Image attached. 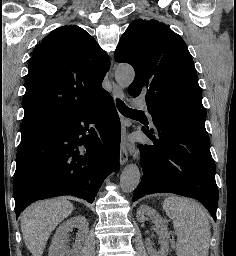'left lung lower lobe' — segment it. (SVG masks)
I'll use <instances>...</instances> for the list:
<instances>
[{
	"label": "left lung lower lobe",
	"mask_w": 236,
	"mask_h": 256,
	"mask_svg": "<svg viewBox=\"0 0 236 256\" xmlns=\"http://www.w3.org/2000/svg\"><path fill=\"white\" fill-rule=\"evenodd\" d=\"M153 123L154 130L143 128L153 144L140 145L143 177L132 201L161 192L192 197L216 221L218 188L208 134L162 117Z\"/></svg>",
	"instance_id": "0a47b994"
}]
</instances>
